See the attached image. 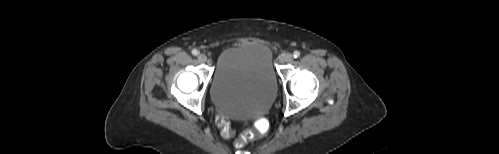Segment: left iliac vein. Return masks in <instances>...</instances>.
<instances>
[{
    "instance_id": "1",
    "label": "left iliac vein",
    "mask_w": 499,
    "mask_h": 154,
    "mask_svg": "<svg viewBox=\"0 0 499 154\" xmlns=\"http://www.w3.org/2000/svg\"><path fill=\"white\" fill-rule=\"evenodd\" d=\"M285 62H291L293 60V55L291 53H286L283 57Z\"/></svg>"
}]
</instances>
